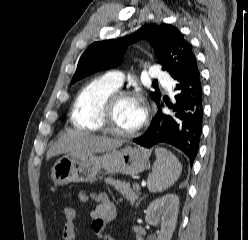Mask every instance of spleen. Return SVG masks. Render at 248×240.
<instances>
[{
	"label": "spleen",
	"mask_w": 248,
	"mask_h": 240,
	"mask_svg": "<svg viewBox=\"0 0 248 240\" xmlns=\"http://www.w3.org/2000/svg\"><path fill=\"white\" fill-rule=\"evenodd\" d=\"M156 161L147 178L148 190L152 193L162 192L171 187L180 177L182 165L170 151L165 148L155 149Z\"/></svg>",
	"instance_id": "spleen-1"
}]
</instances>
